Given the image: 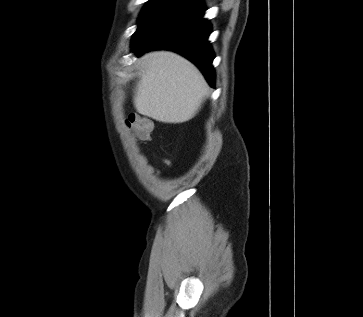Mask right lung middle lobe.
I'll list each match as a JSON object with an SVG mask.
<instances>
[{"instance_id": "right-lung-middle-lobe-1", "label": "right lung middle lobe", "mask_w": 363, "mask_h": 317, "mask_svg": "<svg viewBox=\"0 0 363 317\" xmlns=\"http://www.w3.org/2000/svg\"><path fill=\"white\" fill-rule=\"evenodd\" d=\"M184 0H151L144 8L139 19V26L132 41L138 39L153 23L171 9L182 4Z\"/></svg>"}]
</instances>
